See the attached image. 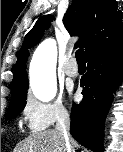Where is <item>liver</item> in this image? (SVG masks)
Here are the masks:
<instances>
[{
	"mask_svg": "<svg viewBox=\"0 0 123 152\" xmlns=\"http://www.w3.org/2000/svg\"><path fill=\"white\" fill-rule=\"evenodd\" d=\"M14 152H66V146L57 130L50 129L31 134L19 143Z\"/></svg>",
	"mask_w": 123,
	"mask_h": 152,
	"instance_id": "liver-1",
	"label": "liver"
}]
</instances>
